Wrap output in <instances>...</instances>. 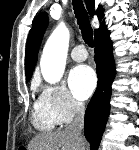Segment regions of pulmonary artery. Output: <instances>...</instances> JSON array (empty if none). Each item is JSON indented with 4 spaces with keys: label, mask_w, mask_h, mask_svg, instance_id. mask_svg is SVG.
I'll return each instance as SVG.
<instances>
[{
    "label": "pulmonary artery",
    "mask_w": 139,
    "mask_h": 150,
    "mask_svg": "<svg viewBox=\"0 0 139 150\" xmlns=\"http://www.w3.org/2000/svg\"><path fill=\"white\" fill-rule=\"evenodd\" d=\"M88 57V52L83 45H78L74 47L71 51V58L74 61L82 62Z\"/></svg>",
    "instance_id": "obj_1"
}]
</instances>
